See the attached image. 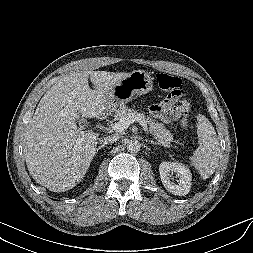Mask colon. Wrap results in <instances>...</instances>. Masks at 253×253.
<instances>
[{"mask_svg": "<svg viewBox=\"0 0 253 253\" xmlns=\"http://www.w3.org/2000/svg\"><path fill=\"white\" fill-rule=\"evenodd\" d=\"M159 87L163 90L170 92V96L176 99H180L181 108L183 111V124L187 127L189 124L188 112L189 103L186 99L182 98L183 95V83L180 78L170 75L165 72H159L156 76Z\"/></svg>", "mask_w": 253, "mask_h": 253, "instance_id": "1", "label": "colon"}]
</instances>
